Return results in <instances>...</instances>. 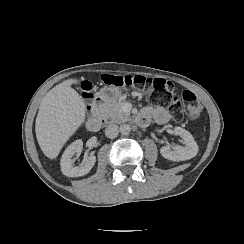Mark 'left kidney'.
<instances>
[{"mask_svg": "<svg viewBox=\"0 0 244 244\" xmlns=\"http://www.w3.org/2000/svg\"><path fill=\"white\" fill-rule=\"evenodd\" d=\"M175 135L180 136L185 143L184 147L176 145L174 150H171L169 145L163 146L160 149V154L163 158L170 161H186L194 158L198 154V145L193 136L187 130L181 127L173 129Z\"/></svg>", "mask_w": 244, "mask_h": 244, "instance_id": "5707ae66", "label": "left kidney"}]
</instances>
